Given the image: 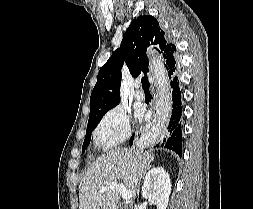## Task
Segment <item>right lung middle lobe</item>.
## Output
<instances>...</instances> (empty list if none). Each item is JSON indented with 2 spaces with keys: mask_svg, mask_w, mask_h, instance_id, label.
I'll use <instances>...</instances> for the list:
<instances>
[{
  "mask_svg": "<svg viewBox=\"0 0 253 209\" xmlns=\"http://www.w3.org/2000/svg\"><path fill=\"white\" fill-rule=\"evenodd\" d=\"M104 114L105 113L95 116V117H92V118H89L88 125H87L86 138L84 140L83 147H82V153H84L85 149L88 147V145L90 143L91 132L98 125V123L100 122V120L102 119Z\"/></svg>",
  "mask_w": 253,
  "mask_h": 209,
  "instance_id": "right-lung-middle-lobe-1",
  "label": "right lung middle lobe"
}]
</instances>
